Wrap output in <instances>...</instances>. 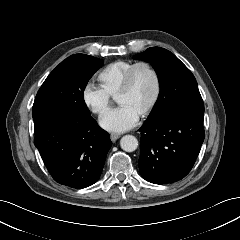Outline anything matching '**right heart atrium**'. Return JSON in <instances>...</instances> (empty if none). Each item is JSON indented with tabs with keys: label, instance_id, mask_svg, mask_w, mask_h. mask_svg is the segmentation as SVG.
<instances>
[{
	"label": "right heart atrium",
	"instance_id": "right-heart-atrium-1",
	"mask_svg": "<svg viewBox=\"0 0 240 240\" xmlns=\"http://www.w3.org/2000/svg\"><path fill=\"white\" fill-rule=\"evenodd\" d=\"M83 101L93 113L102 116L109 110L112 100L101 86L88 84L83 91Z\"/></svg>",
	"mask_w": 240,
	"mask_h": 240
}]
</instances>
